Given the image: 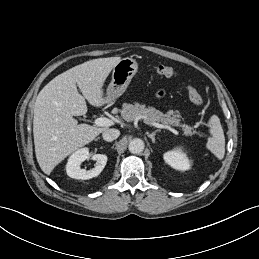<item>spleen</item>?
<instances>
[{
    "instance_id": "1",
    "label": "spleen",
    "mask_w": 259,
    "mask_h": 259,
    "mask_svg": "<svg viewBox=\"0 0 259 259\" xmlns=\"http://www.w3.org/2000/svg\"><path fill=\"white\" fill-rule=\"evenodd\" d=\"M210 127L212 137L208 139L207 148L218 159H222L225 154V137L219 120L213 117L210 121Z\"/></svg>"
}]
</instances>
